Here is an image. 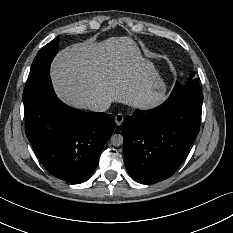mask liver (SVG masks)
<instances>
[{"label": "liver", "instance_id": "liver-1", "mask_svg": "<svg viewBox=\"0 0 233 233\" xmlns=\"http://www.w3.org/2000/svg\"><path fill=\"white\" fill-rule=\"evenodd\" d=\"M58 97L70 106L89 109L98 99L148 109L164 98L152 90L158 74L146 71L144 58L130 37L87 40L61 50L51 66Z\"/></svg>", "mask_w": 233, "mask_h": 233}]
</instances>
